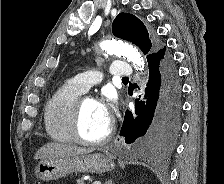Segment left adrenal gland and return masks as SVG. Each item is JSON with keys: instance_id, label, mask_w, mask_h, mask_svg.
<instances>
[{"instance_id": "a2214340", "label": "left adrenal gland", "mask_w": 224, "mask_h": 184, "mask_svg": "<svg viewBox=\"0 0 224 184\" xmlns=\"http://www.w3.org/2000/svg\"><path fill=\"white\" fill-rule=\"evenodd\" d=\"M105 184H113V183H112V180L110 179Z\"/></svg>"}]
</instances>
